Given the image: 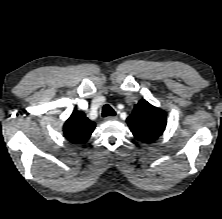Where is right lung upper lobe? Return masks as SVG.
Here are the masks:
<instances>
[{"mask_svg": "<svg viewBox=\"0 0 222 219\" xmlns=\"http://www.w3.org/2000/svg\"><path fill=\"white\" fill-rule=\"evenodd\" d=\"M95 123L89 120L81 111H74L63 126V132L66 138L74 143H84L87 141L93 130Z\"/></svg>", "mask_w": 222, "mask_h": 219, "instance_id": "cb5924a9", "label": "right lung upper lobe"}]
</instances>
